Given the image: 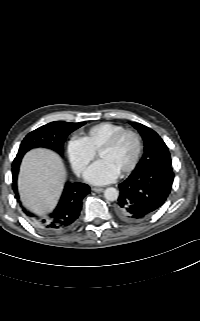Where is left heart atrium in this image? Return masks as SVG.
<instances>
[{
  "label": "left heart atrium",
  "instance_id": "obj_1",
  "mask_svg": "<svg viewBox=\"0 0 200 321\" xmlns=\"http://www.w3.org/2000/svg\"><path fill=\"white\" fill-rule=\"evenodd\" d=\"M119 174L108 161L100 159L86 170L84 177L89 183L103 185L113 182Z\"/></svg>",
  "mask_w": 200,
  "mask_h": 321
}]
</instances>
